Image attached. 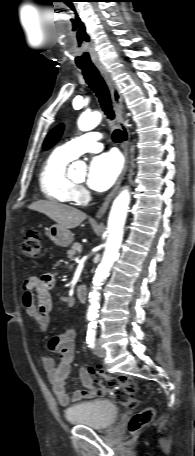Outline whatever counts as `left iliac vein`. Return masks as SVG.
Here are the masks:
<instances>
[{"label":"left iliac vein","mask_w":195,"mask_h":456,"mask_svg":"<svg viewBox=\"0 0 195 456\" xmlns=\"http://www.w3.org/2000/svg\"><path fill=\"white\" fill-rule=\"evenodd\" d=\"M95 354L101 358H104L106 356V351L99 342H97L95 345Z\"/></svg>","instance_id":"1"}]
</instances>
